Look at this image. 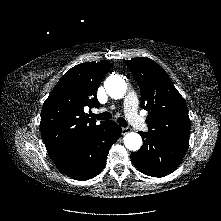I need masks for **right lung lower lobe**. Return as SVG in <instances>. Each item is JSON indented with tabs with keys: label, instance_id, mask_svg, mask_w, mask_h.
Masks as SVG:
<instances>
[{
	"label": "right lung lower lobe",
	"instance_id": "1",
	"mask_svg": "<svg viewBox=\"0 0 221 221\" xmlns=\"http://www.w3.org/2000/svg\"><path fill=\"white\" fill-rule=\"evenodd\" d=\"M121 127L106 121L71 153L53 160L57 168L76 180H88L99 174L106 164L110 147L121 135Z\"/></svg>",
	"mask_w": 221,
	"mask_h": 221
}]
</instances>
